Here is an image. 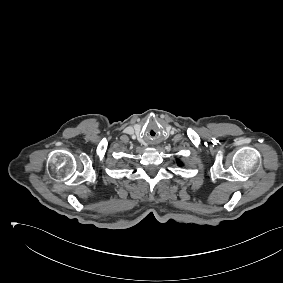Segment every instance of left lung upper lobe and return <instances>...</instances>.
<instances>
[{
	"mask_svg": "<svg viewBox=\"0 0 283 283\" xmlns=\"http://www.w3.org/2000/svg\"><path fill=\"white\" fill-rule=\"evenodd\" d=\"M178 165L182 166V163L178 161Z\"/></svg>",
	"mask_w": 283,
	"mask_h": 283,
	"instance_id": "1",
	"label": "left lung upper lobe"
}]
</instances>
